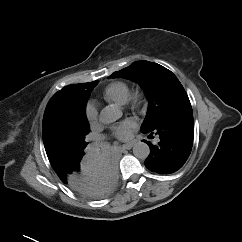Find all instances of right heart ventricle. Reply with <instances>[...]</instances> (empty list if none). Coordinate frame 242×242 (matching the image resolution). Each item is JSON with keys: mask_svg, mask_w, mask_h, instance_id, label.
Returning <instances> with one entry per match:
<instances>
[{"mask_svg": "<svg viewBox=\"0 0 242 242\" xmlns=\"http://www.w3.org/2000/svg\"><path fill=\"white\" fill-rule=\"evenodd\" d=\"M130 92L129 85L124 81L110 83L103 91V98L108 102L124 105Z\"/></svg>", "mask_w": 242, "mask_h": 242, "instance_id": "e07e8e85", "label": "right heart ventricle"}]
</instances>
